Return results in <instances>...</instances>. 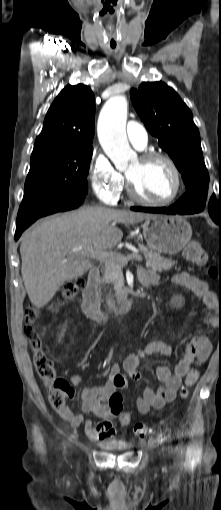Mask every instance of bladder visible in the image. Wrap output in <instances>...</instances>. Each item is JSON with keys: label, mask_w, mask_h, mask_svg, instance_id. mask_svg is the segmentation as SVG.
<instances>
[{"label": "bladder", "mask_w": 221, "mask_h": 510, "mask_svg": "<svg viewBox=\"0 0 221 510\" xmlns=\"http://www.w3.org/2000/svg\"><path fill=\"white\" fill-rule=\"evenodd\" d=\"M106 450L110 451H125L129 450L130 446L122 442H104L101 444Z\"/></svg>", "instance_id": "bladder-1"}]
</instances>
